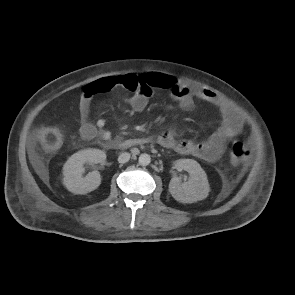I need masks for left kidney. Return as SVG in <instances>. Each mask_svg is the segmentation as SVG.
<instances>
[{
  "instance_id": "left-kidney-1",
  "label": "left kidney",
  "mask_w": 295,
  "mask_h": 295,
  "mask_svg": "<svg viewBox=\"0 0 295 295\" xmlns=\"http://www.w3.org/2000/svg\"><path fill=\"white\" fill-rule=\"evenodd\" d=\"M175 167L190 174L188 182L181 184L174 176L169 183V192L172 197L181 203H194L205 199L210 191L207 175L200 164L192 159H180Z\"/></svg>"
}]
</instances>
